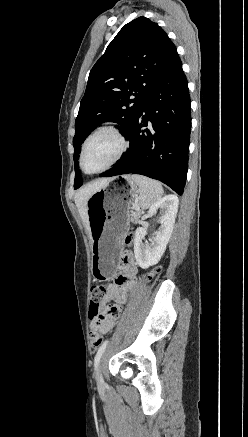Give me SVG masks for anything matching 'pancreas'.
<instances>
[{
    "instance_id": "cf45deb5",
    "label": "pancreas",
    "mask_w": 248,
    "mask_h": 437,
    "mask_svg": "<svg viewBox=\"0 0 248 437\" xmlns=\"http://www.w3.org/2000/svg\"><path fill=\"white\" fill-rule=\"evenodd\" d=\"M140 215H141V212L138 209H135L134 212H131V214H130L131 222H133V223L137 222L139 217H140Z\"/></svg>"
}]
</instances>
